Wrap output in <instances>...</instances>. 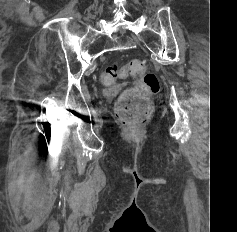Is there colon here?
<instances>
[{"label":"colon","instance_id":"5ec220e1","mask_svg":"<svg viewBox=\"0 0 237 232\" xmlns=\"http://www.w3.org/2000/svg\"><path fill=\"white\" fill-rule=\"evenodd\" d=\"M135 78L133 87L127 89L119 98L116 113L119 120L131 131L138 130L149 119L152 113L150 96L159 90V81L155 74L146 73L145 63L141 60H132L119 67L110 65L101 75L102 81L110 85L117 79L127 76Z\"/></svg>","mask_w":237,"mask_h":232}]
</instances>
